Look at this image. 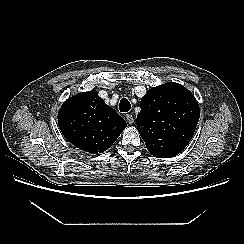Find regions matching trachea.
<instances>
[{"label":"trachea","mask_w":244,"mask_h":244,"mask_svg":"<svg viewBox=\"0 0 244 244\" xmlns=\"http://www.w3.org/2000/svg\"><path fill=\"white\" fill-rule=\"evenodd\" d=\"M119 109L121 112H128L131 109L130 102L126 98L120 100Z\"/></svg>","instance_id":"1"}]
</instances>
